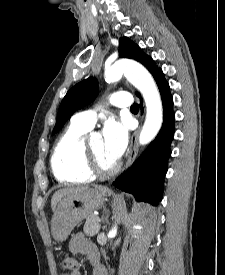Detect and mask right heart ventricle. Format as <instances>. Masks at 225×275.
Here are the masks:
<instances>
[{"label": "right heart ventricle", "mask_w": 225, "mask_h": 275, "mask_svg": "<svg viewBox=\"0 0 225 275\" xmlns=\"http://www.w3.org/2000/svg\"><path fill=\"white\" fill-rule=\"evenodd\" d=\"M88 128L71 123L57 140L51 168L55 178L62 183H87L94 179L84 165L83 144Z\"/></svg>", "instance_id": "right-heart-ventricle-1"}]
</instances>
